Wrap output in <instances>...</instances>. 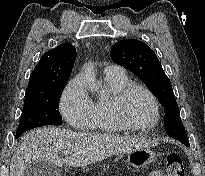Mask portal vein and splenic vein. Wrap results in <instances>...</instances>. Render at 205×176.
<instances>
[{
	"label": "portal vein and splenic vein",
	"mask_w": 205,
	"mask_h": 176,
	"mask_svg": "<svg viewBox=\"0 0 205 176\" xmlns=\"http://www.w3.org/2000/svg\"><path fill=\"white\" fill-rule=\"evenodd\" d=\"M63 153H64V154H69V152H68V151H63Z\"/></svg>",
	"instance_id": "obj_1"
}]
</instances>
